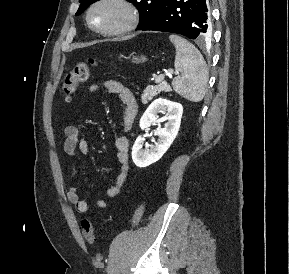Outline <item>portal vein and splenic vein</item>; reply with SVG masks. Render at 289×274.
Instances as JSON below:
<instances>
[{
    "label": "portal vein and splenic vein",
    "mask_w": 289,
    "mask_h": 274,
    "mask_svg": "<svg viewBox=\"0 0 289 274\" xmlns=\"http://www.w3.org/2000/svg\"><path fill=\"white\" fill-rule=\"evenodd\" d=\"M169 76H172V75L169 74ZM164 79H165V75H159L156 77L155 83H161Z\"/></svg>",
    "instance_id": "1"
}]
</instances>
